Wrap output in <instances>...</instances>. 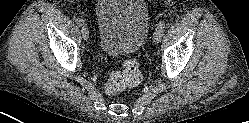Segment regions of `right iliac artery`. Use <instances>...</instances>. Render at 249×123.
<instances>
[{"instance_id":"obj_1","label":"right iliac artery","mask_w":249,"mask_h":123,"mask_svg":"<svg viewBox=\"0 0 249 123\" xmlns=\"http://www.w3.org/2000/svg\"><path fill=\"white\" fill-rule=\"evenodd\" d=\"M76 23L79 25V26H83L84 25V20L82 18H77L76 19Z\"/></svg>"}]
</instances>
